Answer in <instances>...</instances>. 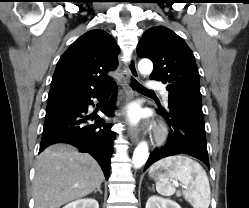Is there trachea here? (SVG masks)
Wrapping results in <instances>:
<instances>
[{"instance_id": "obj_1", "label": "trachea", "mask_w": 249, "mask_h": 208, "mask_svg": "<svg viewBox=\"0 0 249 208\" xmlns=\"http://www.w3.org/2000/svg\"><path fill=\"white\" fill-rule=\"evenodd\" d=\"M133 89H136L139 92L145 93V94H154L153 91L146 89L144 86L139 84L137 81L133 80L132 84ZM112 89H107V92H110Z\"/></svg>"}]
</instances>
